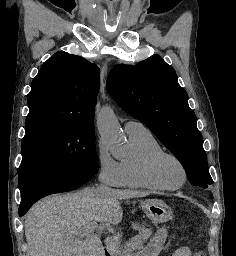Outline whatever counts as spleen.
<instances>
[{"instance_id": "3e777b00", "label": "spleen", "mask_w": 236, "mask_h": 256, "mask_svg": "<svg viewBox=\"0 0 236 256\" xmlns=\"http://www.w3.org/2000/svg\"><path fill=\"white\" fill-rule=\"evenodd\" d=\"M174 256H192L189 248H182V250H179V252H176Z\"/></svg>"}]
</instances>
